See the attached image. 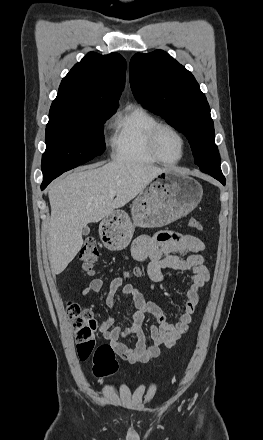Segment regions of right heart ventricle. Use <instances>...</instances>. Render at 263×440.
I'll return each instance as SVG.
<instances>
[{
  "instance_id": "e07e8e85",
  "label": "right heart ventricle",
  "mask_w": 263,
  "mask_h": 440,
  "mask_svg": "<svg viewBox=\"0 0 263 440\" xmlns=\"http://www.w3.org/2000/svg\"><path fill=\"white\" fill-rule=\"evenodd\" d=\"M158 122L147 109L128 106L114 122L110 139L113 159L128 163H157L148 148V135Z\"/></svg>"
}]
</instances>
